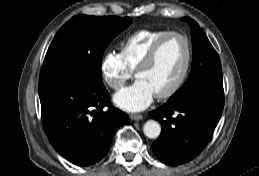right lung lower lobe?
<instances>
[{"instance_id":"right-lung-lower-lobe-1","label":"right lung lower lobe","mask_w":259,"mask_h":176,"mask_svg":"<svg viewBox=\"0 0 259 176\" xmlns=\"http://www.w3.org/2000/svg\"><path fill=\"white\" fill-rule=\"evenodd\" d=\"M39 97L49 141L62 157L78 166L100 161L117 127L128 122L127 114L111 106L103 84L55 79L39 83Z\"/></svg>"}]
</instances>
